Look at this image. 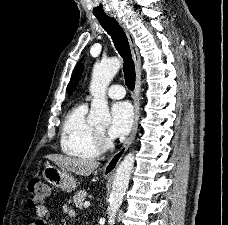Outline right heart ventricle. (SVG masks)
I'll list each match as a JSON object with an SVG mask.
<instances>
[{
	"instance_id": "obj_1",
	"label": "right heart ventricle",
	"mask_w": 228,
	"mask_h": 225,
	"mask_svg": "<svg viewBox=\"0 0 228 225\" xmlns=\"http://www.w3.org/2000/svg\"><path fill=\"white\" fill-rule=\"evenodd\" d=\"M87 106L80 102L66 114L61 131L60 148L70 157L91 159L100 155L97 129L86 118Z\"/></svg>"
}]
</instances>
